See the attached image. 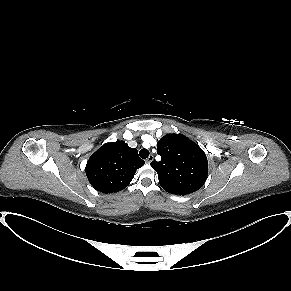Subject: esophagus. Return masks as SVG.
Here are the masks:
<instances>
[{
  "label": "esophagus",
  "instance_id": "1",
  "mask_svg": "<svg viewBox=\"0 0 291 291\" xmlns=\"http://www.w3.org/2000/svg\"><path fill=\"white\" fill-rule=\"evenodd\" d=\"M153 159H154V156H153V155H150V156L145 160V162H146L147 164H150V163L153 161Z\"/></svg>",
  "mask_w": 291,
  "mask_h": 291
}]
</instances>
